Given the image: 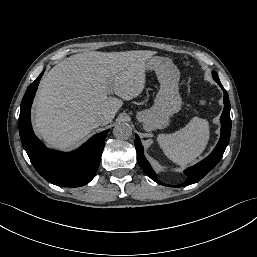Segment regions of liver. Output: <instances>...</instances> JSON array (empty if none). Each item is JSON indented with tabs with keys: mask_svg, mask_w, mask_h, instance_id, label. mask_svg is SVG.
<instances>
[{
	"mask_svg": "<svg viewBox=\"0 0 257 257\" xmlns=\"http://www.w3.org/2000/svg\"><path fill=\"white\" fill-rule=\"evenodd\" d=\"M155 53L91 51L65 58L40 82L33 109L36 131L49 146L66 149L99 126V115L109 114L110 123L121 99L142 93L146 61ZM109 89L121 99L108 96Z\"/></svg>",
	"mask_w": 257,
	"mask_h": 257,
	"instance_id": "6515ba94",
	"label": "liver"
}]
</instances>
